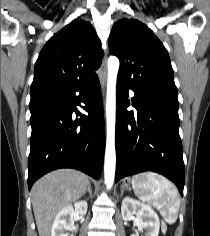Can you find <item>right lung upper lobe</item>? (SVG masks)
<instances>
[{
  "label": "right lung upper lobe",
  "mask_w": 210,
  "mask_h": 236,
  "mask_svg": "<svg viewBox=\"0 0 210 236\" xmlns=\"http://www.w3.org/2000/svg\"><path fill=\"white\" fill-rule=\"evenodd\" d=\"M101 42L89 22L73 20L54 34L35 63L31 94L50 88L65 92L92 79L101 65Z\"/></svg>",
  "instance_id": "cb5924a9"
}]
</instances>
